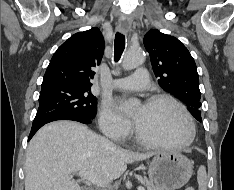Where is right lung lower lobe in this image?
<instances>
[{
  "mask_svg": "<svg viewBox=\"0 0 234 190\" xmlns=\"http://www.w3.org/2000/svg\"><path fill=\"white\" fill-rule=\"evenodd\" d=\"M56 120H73V121H78L84 124H89L92 122L91 120H87V119H83V118L71 116V115H56V116L50 117L49 119L45 121L38 123L35 126H32L28 140H30L33 137V135L38 131V129H40L43 125L52 121H56Z\"/></svg>",
  "mask_w": 234,
  "mask_h": 190,
  "instance_id": "right-lung-lower-lobe-1",
  "label": "right lung lower lobe"
}]
</instances>
